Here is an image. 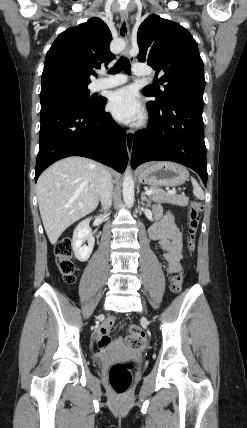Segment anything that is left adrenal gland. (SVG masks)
<instances>
[{
	"label": "left adrenal gland",
	"mask_w": 247,
	"mask_h": 428,
	"mask_svg": "<svg viewBox=\"0 0 247 428\" xmlns=\"http://www.w3.org/2000/svg\"><path fill=\"white\" fill-rule=\"evenodd\" d=\"M141 201H146L147 205L150 206L151 205V200L145 195L144 192L141 193Z\"/></svg>",
	"instance_id": "a2214340"
}]
</instances>
